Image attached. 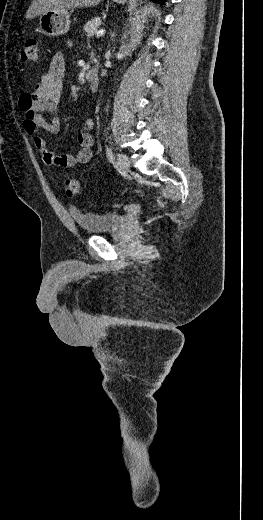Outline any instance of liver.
Wrapping results in <instances>:
<instances>
[{
  "label": "liver",
  "instance_id": "1",
  "mask_svg": "<svg viewBox=\"0 0 263 520\" xmlns=\"http://www.w3.org/2000/svg\"><path fill=\"white\" fill-rule=\"evenodd\" d=\"M103 0H33L27 13L26 19H33L50 10H69L72 8H83L96 6Z\"/></svg>",
  "mask_w": 263,
  "mask_h": 520
}]
</instances>
